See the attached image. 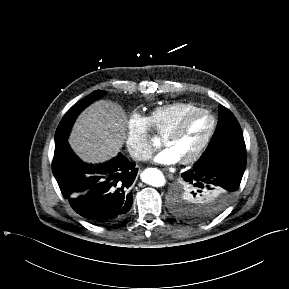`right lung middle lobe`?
I'll return each instance as SVG.
<instances>
[{"label": "right lung middle lobe", "instance_id": "dd1d6c3e", "mask_svg": "<svg viewBox=\"0 0 289 289\" xmlns=\"http://www.w3.org/2000/svg\"><path fill=\"white\" fill-rule=\"evenodd\" d=\"M105 91L103 90H96L92 92L90 95L85 97L80 102L73 105L65 114V116L62 118L56 133H55V145L62 142L63 140L67 139V136L69 134V131L71 129V126L73 122L75 121L78 114L89 104H91L93 101L98 99L100 95H103Z\"/></svg>", "mask_w": 289, "mask_h": 289}]
</instances>
